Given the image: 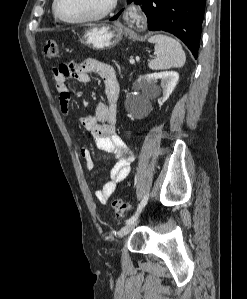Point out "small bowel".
Wrapping results in <instances>:
<instances>
[{"label": "small bowel", "mask_w": 247, "mask_h": 299, "mask_svg": "<svg viewBox=\"0 0 247 299\" xmlns=\"http://www.w3.org/2000/svg\"><path fill=\"white\" fill-rule=\"evenodd\" d=\"M92 73L98 74L104 82L106 102H99L95 112L80 118L79 123L89 132L100 150L111 152L116 156L117 162L110 171L109 179L95 193L98 201L106 204L117 185L129 174L130 164L134 159L133 154L115 131L117 102L120 94L115 70L112 66L95 59H86L78 66L60 64L53 68L59 105L65 115L69 114L71 98L67 80L72 78L80 83H88ZM80 155L86 168L91 170L94 165L91 150L83 147Z\"/></svg>", "instance_id": "obj_1"}]
</instances>
